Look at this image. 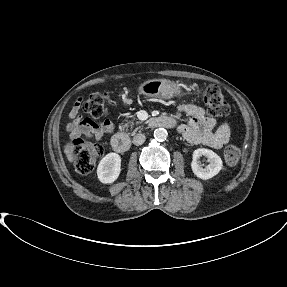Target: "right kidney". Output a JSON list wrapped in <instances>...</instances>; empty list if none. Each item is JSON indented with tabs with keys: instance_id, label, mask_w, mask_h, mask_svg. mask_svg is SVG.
Returning a JSON list of instances; mask_svg holds the SVG:
<instances>
[{
	"instance_id": "right-kidney-1",
	"label": "right kidney",
	"mask_w": 287,
	"mask_h": 287,
	"mask_svg": "<svg viewBox=\"0 0 287 287\" xmlns=\"http://www.w3.org/2000/svg\"><path fill=\"white\" fill-rule=\"evenodd\" d=\"M120 171V155L117 153H109L101 159L97 168V176L102 183H113L119 177Z\"/></svg>"
}]
</instances>
